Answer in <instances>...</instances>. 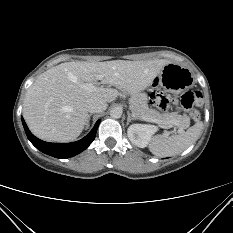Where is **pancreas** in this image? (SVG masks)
Here are the masks:
<instances>
[{"mask_svg": "<svg viewBox=\"0 0 233 233\" xmlns=\"http://www.w3.org/2000/svg\"><path fill=\"white\" fill-rule=\"evenodd\" d=\"M130 105L133 115L140 120H149L151 122L156 121L160 124L173 122V124L180 129L186 128L190 121L189 117L186 115L161 116L156 110L148 107L146 98L142 94L131 93Z\"/></svg>", "mask_w": 233, "mask_h": 233, "instance_id": "pancreas-1", "label": "pancreas"}]
</instances>
